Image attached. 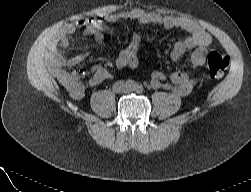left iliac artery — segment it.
Masks as SVG:
<instances>
[{
    "label": "left iliac artery",
    "mask_w": 251,
    "mask_h": 192,
    "mask_svg": "<svg viewBox=\"0 0 251 192\" xmlns=\"http://www.w3.org/2000/svg\"><path fill=\"white\" fill-rule=\"evenodd\" d=\"M142 88L143 87L141 85H136V87H135L136 91H138V92L142 91Z\"/></svg>",
    "instance_id": "44dca946"
}]
</instances>
